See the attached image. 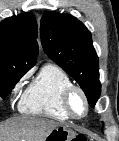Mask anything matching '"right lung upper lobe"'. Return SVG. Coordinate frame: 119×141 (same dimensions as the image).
Here are the masks:
<instances>
[{"label":"right lung upper lobe","instance_id":"cb5924a9","mask_svg":"<svg viewBox=\"0 0 119 141\" xmlns=\"http://www.w3.org/2000/svg\"><path fill=\"white\" fill-rule=\"evenodd\" d=\"M37 22L30 13L0 22V72H27L38 55Z\"/></svg>","mask_w":119,"mask_h":141}]
</instances>
